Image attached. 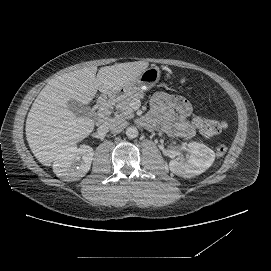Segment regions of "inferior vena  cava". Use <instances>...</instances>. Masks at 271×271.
<instances>
[{"instance_id": "1", "label": "inferior vena cava", "mask_w": 271, "mask_h": 271, "mask_svg": "<svg viewBox=\"0 0 271 271\" xmlns=\"http://www.w3.org/2000/svg\"><path fill=\"white\" fill-rule=\"evenodd\" d=\"M105 126L113 133H120L127 126V122L122 118H112L108 120Z\"/></svg>"}]
</instances>
